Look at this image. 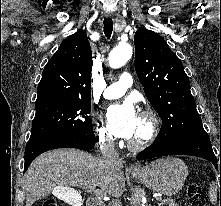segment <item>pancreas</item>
<instances>
[{
  "instance_id": "obj_1",
  "label": "pancreas",
  "mask_w": 221,
  "mask_h": 206,
  "mask_svg": "<svg viewBox=\"0 0 221 206\" xmlns=\"http://www.w3.org/2000/svg\"><path fill=\"white\" fill-rule=\"evenodd\" d=\"M162 203L167 204L168 206H177V204L175 203V200L171 198L163 200Z\"/></svg>"
}]
</instances>
